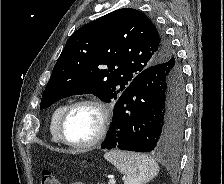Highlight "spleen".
Instances as JSON below:
<instances>
[{"label":"spleen","mask_w":224,"mask_h":184,"mask_svg":"<svg viewBox=\"0 0 224 184\" xmlns=\"http://www.w3.org/2000/svg\"><path fill=\"white\" fill-rule=\"evenodd\" d=\"M104 158L125 175L124 184H146L159 173L158 164L143 154L111 151Z\"/></svg>","instance_id":"1"}]
</instances>
